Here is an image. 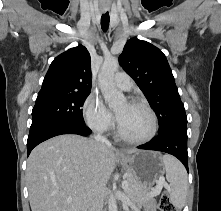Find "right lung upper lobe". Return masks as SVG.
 <instances>
[{
    "instance_id": "1",
    "label": "right lung upper lobe",
    "mask_w": 221,
    "mask_h": 211,
    "mask_svg": "<svg viewBox=\"0 0 221 211\" xmlns=\"http://www.w3.org/2000/svg\"><path fill=\"white\" fill-rule=\"evenodd\" d=\"M90 54L78 45L57 56L51 63L40 92H90Z\"/></svg>"
}]
</instances>
